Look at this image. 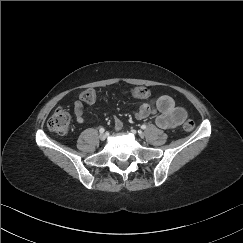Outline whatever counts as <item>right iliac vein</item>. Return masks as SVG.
I'll return each instance as SVG.
<instances>
[{
  "label": "right iliac vein",
  "instance_id": "63e3f726",
  "mask_svg": "<svg viewBox=\"0 0 243 243\" xmlns=\"http://www.w3.org/2000/svg\"><path fill=\"white\" fill-rule=\"evenodd\" d=\"M106 137H107V136H106L105 134H100V135H99V139L102 140V141L105 140Z\"/></svg>",
  "mask_w": 243,
  "mask_h": 243
}]
</instances>
